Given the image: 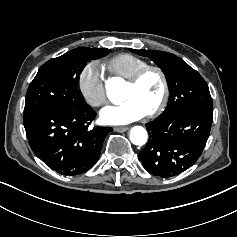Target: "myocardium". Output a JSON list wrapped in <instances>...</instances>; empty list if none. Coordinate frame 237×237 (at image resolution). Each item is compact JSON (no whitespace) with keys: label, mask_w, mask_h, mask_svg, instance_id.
<instances>
[{"label":"myocardium","mask_w":237,"mask_h":237,"mask_svg":"<svg viewBox=\"0 0 237 237\" xmlns=\"http://www.w3.org/2000/svg\"><path fill=\"white\" fill-rule=\"evenodd\" d=\"M150 71H155L160 75L163 83V95L159 104L153 110L146 113V117H154L160 114L166 108L170 97V86L168 77L164 70L159 66L147 65L138 70L136 73H134L131 77L127 79L128 84L135 85Z\"/></svg>","instance_id":"myocardium-1"}]
</instances>
